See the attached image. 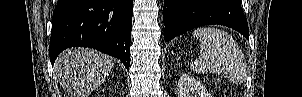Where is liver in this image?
Returning a JSON list of instances; mask_svg holds the SVG:
<instances>
[{"label": "liver", "mask_w": 302, "mask_h": 97, "mask_svg": "<svg viewBox=\"0 0 302 97\" xmlns=\"http://www.w3.org/2000/svg\"><path fill=\"white\" fill-rule=\"evenodd\" d=\"M112 58L93 49L72 48L60 54L54 71L70 97H88L107 78Z\"/></svg>", "instance_id": "obj_1"}]
</instances>
